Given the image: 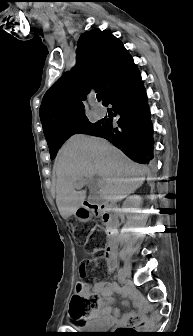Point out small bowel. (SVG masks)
<instances>
[{
    "instance_id": "1",
    "label": "small bowel",
    "mask_w": 193,
    "mask_h": 336,
    "mask_svg": "<svg viewBox=\"0 0 193 336\" xmlns=\"http://www.w3.org/2000/svg\"><path fill=\"white\" fill-rule=\"evenodd\" d=\"M108 266L110 269H112L114 267V263H108ZM127 292L135 301H139V297L137 294L131 292L130 290H128ZM82 293H95L101 297L99 309L92 315L89 321H96L101 318L106 325H112L117 322L116 318L112 315V307L110 305L113 293V286L111 284L105 281H98L95 283L93 288H84L82 290ZM82 321L83 320H80L79 322ZM121 323H132L135 326L144 327L150 323V320L144 315H129L123 318L121 320Z\"/></svg>"
}]
</instances>
